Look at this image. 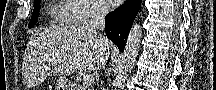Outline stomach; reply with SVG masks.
Listing matches in <instances>:
<instances>
[{"mask_svg":"<svg viewBox=\"0 0 216 90\" xmlns=\"http://www.w3.org/2000/svg\"><path fill=\"white\" fill-rule=\"evenodd\" d=\"M55 90H71V84L65 77H60L56 82Z\"/></svg>","mask_w":216,"mask_h":90,"instance_id":"stomach-1","label":"stomach"}]
</instances>
